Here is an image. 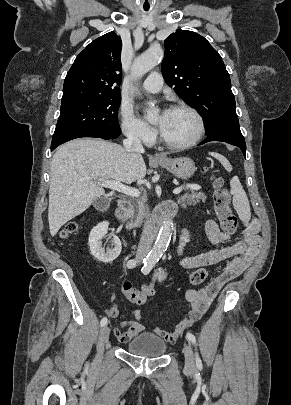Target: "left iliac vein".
Masks as SVG:
<instances>
[{
	"label": "left iliac vein",
	"instance_id": "1",
	"mask_svg": "<svg viewBox=\"0 0 291 405\" xmlns=\"http://www.w3.org/2000/svg\"><path fill=\"white\" fill-rule=\"evenodd\" d=\"M183 353L185 357V368L188 371H191L194 366V357H193V351L190 346V344L185 343L183 347Z\"/></svg>",
	"mask_w": 291,
	"mask_h": 405
}]
</instances>
